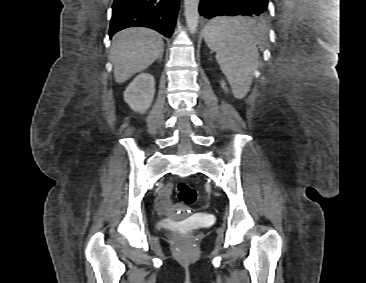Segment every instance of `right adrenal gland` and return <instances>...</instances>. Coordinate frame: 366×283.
Returning a JSON list of instances; mask_svg holds the SVG:
<instances>
[{
    "label": "right adrenal gland",
    "mask_w": 366,
    "mask_h": 283,
    "mask_svg": "<svg viewBox=\"0 0 366 283\" xmlns=\"http://www.w3.org/2000/svg\"><path fill=\"white\" fill-rule=\"evenodd\" d=\"M163 53H161L158 57L159 61H162Z\"/></svg>",
    "instance_id": "right-adrenal-gland-1"
}]
</instances>
